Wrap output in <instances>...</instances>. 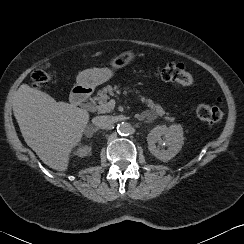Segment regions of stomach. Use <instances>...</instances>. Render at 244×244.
<instances>
[{
	"label": "stomach",
	"instance_id": "obj_1",
	"mask_svg": "<svg viewBox=\"0 0 244 244\" xmlns=\"http://www.w3.org/2000/svg\"><path fill=\"white\" fill-rule=\"evenodd\" d=\"M137 58V54L132 51H124L119 55H116L111 60V69L110 68H93L87 69L80 72L77 76V87L81 88H94L102 83L108 81L113 76V71L121 69Z\"/></svg>",
	"mask_w": 244,
	"mask_h": 244
}]
</instances>
